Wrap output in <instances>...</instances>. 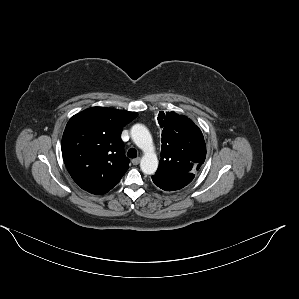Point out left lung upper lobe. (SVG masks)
Returning <instances> with one entry per match:
<instances>
[{"mask_svg": "<svg viewBox=\"0 0 299 299\" xmlns=\"http://www.w3.org/2000/svg\"><path fill=\"white\" fill-rule=\"evenodd\" d=\"M161 159L156 174L196 173L205 161L206 145L198 126L186 116L160 112Z\"/></svg>", "mask_w": 299, "mask_h": 299, "instance_id": "1", "label": "left lung upper lobe"}]
</instances>
